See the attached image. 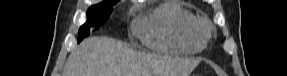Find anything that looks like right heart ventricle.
<instances>
[{"instance_id":"e07e8e85","label":"right heart ventricle","mask_w":287,"mask_h":76,"mask_svg":"<svg viewBox=\"0 0 287 76\" xmlns=\"http://www.w3.org/2000/svg\"><path fill=\"white\" fill-rule=\"evenodd\" d=\"M136 33L149 48L177 53H196L206 44L200 20L178 2L159 6L136 27Z\"/></svg>"}]
</instances>
